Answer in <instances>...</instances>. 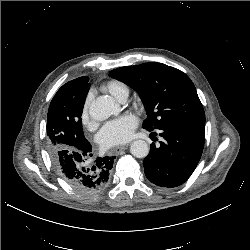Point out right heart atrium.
<instances>
[{
    "label": "right heart atrium",
    "instance_id": "right-heart-atrium-1",
    "mask_svg": "<svg viewBox=\"0 0 250 250\" xmlns=\"http://www.w3.org/2000/svg\"><path fill=\"white\" fill-rule=\"evenodd\" d=\"M89 105H90V99L87 98L84 104V107L82 109V113H81L82 122L88 128L92 126V122H91V118L89 114Z\"/></svg>",
    "mask_w": 250,
    "mask_h": 250
}]
</instances>
